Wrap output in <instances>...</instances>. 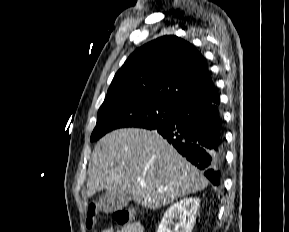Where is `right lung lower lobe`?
<instances>
[{
  "label": "right lung lower lobe",
  "instance_id": "98d812e1",
  "mask_svg": "<svg viewBox=\"0 0 289 232\" xmlns=\"http://www.w3.org/2000/svg\"><path fill=\"white\" fill-rule=\"evenodd\" d=\"M155 130L219 185L224 165V137L219 97L177 109L176 117Z\"/></svg>",
  "mask_w": 289,
  "mask_h": 232
}]
</instances>
